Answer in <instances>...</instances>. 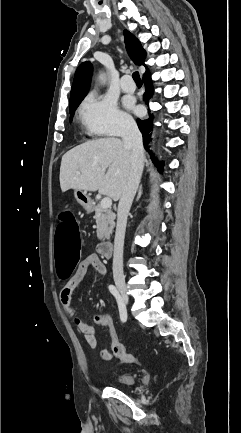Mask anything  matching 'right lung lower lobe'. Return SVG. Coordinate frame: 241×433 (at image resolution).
<instances>
[{
    "label": "right lung lower lobe",
    "instance_id": "98d812e1",
    "mask_svg": "<svg viewBox=\"0 0 241 433\" xmlns=\"http://www.w3.org/2000/svg\"><path fill=\"white\" fill-rule=\"evenodd\" d=\"M143 81H144V84L146 86V92L144 94V100L146 103H148L149 99L151 98V96L153 94L151 75L148 73L147 75L143 76ZM137 124H138V127H139L142 135H143L144 147H145V149L149 150L148 144L151 140L150 132H151L152 126H153V116L150 114V117L148 119H137ZM151 158H152L153 162L155 163V165L158 167V170L160 172H162L163 163L157 162L155 160V158L153 157V154H151Z\"/></svg>",
    "mask_w": 241,
    "mask_h": 433
}]
</instances>
